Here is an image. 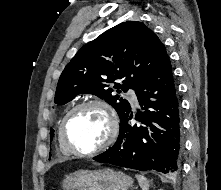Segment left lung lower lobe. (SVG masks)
Here are the masks:
<instances>
[{"label": "left lung lower lobe", "instance_id": "obj_1", "mask_svg": "<svg viewBox=\"0 0 221 190\" xmlns=\"http://www.w3.org/2000/svg\"><path fill=\"white\" fill-rule=\"evenodd\" d=\"M135 93L142 108L135 119L141 125H131L133 113H126L115 144L93 159L140 171L178 174L183 143L179 99L168 55Z\"/></svg>", "mask_w": 221, "mask_h": 190}]
</instances>
